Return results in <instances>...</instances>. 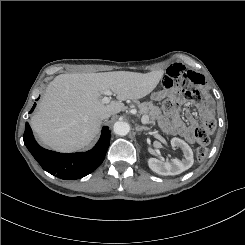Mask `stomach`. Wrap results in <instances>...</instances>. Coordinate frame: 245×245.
<instances>
[{"mask_svg": "<svg viewBox=\"0 0 245 245\" xmlns=\"http://www.w3.org/2000/svg\"><path fill=\"white\" fill-rule=\"evenodd\" d=\"M165 97V94L163 91H157L151 94V100L153 101H160Z\"/></svg>", "mask_w": 245, "mask_h": 245, "instance_id": "0dacf381", "label": "stomach"}]
</instances>
